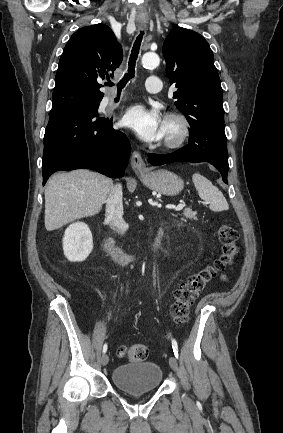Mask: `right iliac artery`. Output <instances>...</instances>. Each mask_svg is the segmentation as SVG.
Instances as JSON below:
<instances>
[{"label": "right iliac artery", "instance_id": "82829eb1", "mask_svg": "<svg viewBox=\"0 0 283 433\" xmlns=\"http://www.w3.org/2000/svg\"><path fill=\"white\" fill-rule=\"evenodd\" d=\"M106 351H107V344H104V346H103V354H105Z\"/></svg>", "mask_w": 283, "mask_h": 433}]
</instances>
